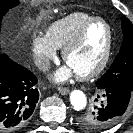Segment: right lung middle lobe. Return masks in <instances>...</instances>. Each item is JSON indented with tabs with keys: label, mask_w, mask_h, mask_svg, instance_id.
<instances>
[{
	"label": "right lung middle lobe",
	"mask_w": 133,
	"mask_h": 133,
	"mask_svg": "<svg viewBox=\"0 0 133 133\" xmlns=\"http://www.w3.org/2000/svg\"><path fill=\"white\" fill-rule=\"evenodd\" d=\"M19 3V1L15 0H0V24L3 16L7 13V11L17 6Z\"/></svg>",
	"instance_id": "dd1d6c3e"
}]
</instances>
